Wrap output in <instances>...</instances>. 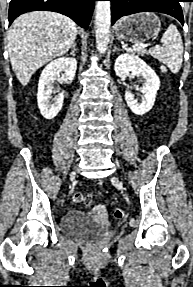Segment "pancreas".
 <instances>
[{
	"mask_svg": "<svg viewBox=\"0 0 193 287\" xmlns=\"http://www.w3.org/2000/svg\"><path fill=\"white\" fill-rule=\"evenodd\" d=\"M134 53L144 56L145 54H147V51L145 49H138L136 51H134Z\"/></svg>",
	"mask_w": 193,
	"mask_h": 287,
	"instance_id": "pancreas-1",
	"label": "pancreas"
}]
</instances>
